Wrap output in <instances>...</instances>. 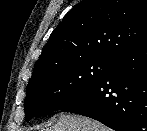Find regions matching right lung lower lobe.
I'll list each match as a JSON object with an SVG mask.
<instances>
[{
    "label": "right lung lower lobe",
    "mask_w": 147,
    "mask_h": 131,
    "mask_svg": "<svg viewBox=\"0 0 147 131\" xmlns=\"http://www.w3.org/2000/svg\"><path fill=\"white\" fill-rule=\"evenodd\" d=\"M61 111L93 118L115 131H147V40L115 59L92 89Z\"/></svg>",
    "instance_id": "98d812e1"
}]
</instances>
